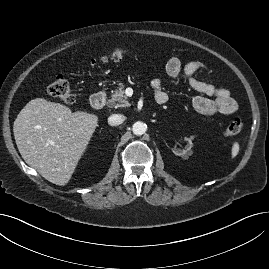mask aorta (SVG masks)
<instances>
[{
	"label": "aorta",
	"instance_id": "762f6f07",
	"mask_svg": "<svg viewBox=\"0 0 269 269\" xmlns=\"http://www.w3.org/2000/svg\"><path fill=\"white\" fill-rule=\"evenodd\" d=\"M132 131L135 135L140 136L146 132V125L143 122H135L132 126Z\"/></svg>",
	"mask_w": 269,
	"mask_h": 269
}]
</instances>
